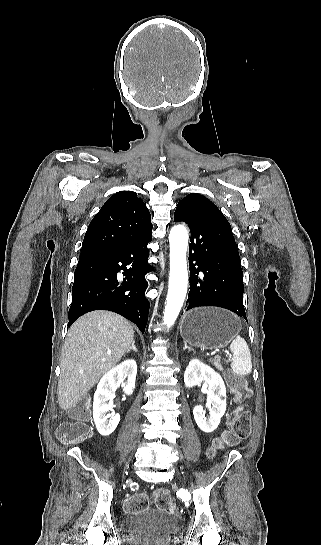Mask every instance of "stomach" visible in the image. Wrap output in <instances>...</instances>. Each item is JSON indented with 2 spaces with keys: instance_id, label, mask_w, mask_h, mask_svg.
I'll list each match as a JSON object with an SVG mask.
<instances>
[{
  "instance_id": "stomach-1",
  "label": "stomach",
  "mask_w": 321,
  "mask_h": 545,
  "mask_svg": "<svg viewBox=\"0 0 321 545\" xmlns=\"http://www.w3.org/2000/svg\"><path fill=\"white\" fill-rule=\"evenodd\" d=\"M241 321L226 309L198 307L185 313L180 323L184 343L205 349H223L239 333Z\"/></svg>"
}]
</instances>
